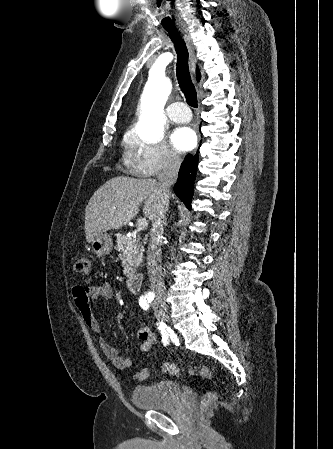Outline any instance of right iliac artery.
Segmentation results:
<instances>
[{
	"instance_id": "1",
	"label": "right iliac artery",
	"mask_w": 333,
	"mask_h": 449,
	"mask_svg": "<svg viewBox=\"0 0 333 449\" xmlns=\"http://www.w3.org/2000/svg\"><path fill=\"white\" fill-rule=\"evenodd\" d=\"M154 296L153 295H145L143 297L140 298L139 300V305L144 309L147 310L148 308V303L153 301ZM165 342V341H164Z\"/></svg>"
}]
</instances>
